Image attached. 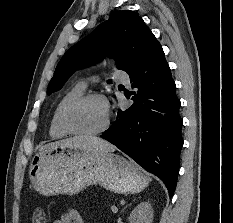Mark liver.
Wrapping results in <instances>:
<instances>
[{
  "label": "liver",
  "instance_id": "liver-1",
  "mask_svg": "<svg viewBox=\"0 0 233 223\" xmlns=\"http://www.w3.org/2000/svg\"><path fill=\"white\" fill-rule=\"evenodd\" d=\"M55 145H61V147H78V149H84V151H115V145L102 139V137H96V135H74V137H68V139H59V141H52Z\"/></svg>",
  "mask_w": 233,
  "mask_h": 223
}]
</instances>
